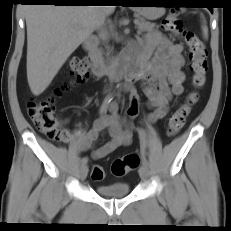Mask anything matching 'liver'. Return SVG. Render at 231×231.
Returning <instances> with one entry per match:
<instances>
[{"mask_svg": "<svg viewBox=\"0 0 231 231\" xmlns=\"http://www.w3.org/2000/svg\"><path fill=\"white\" fill-rule=\"evenodd\" d=\"M100 6L28 5L27 79L38 96L51 83L70 55L98 27ZM115 6H106L109 13Z\"/></svg>", "mask_w": 231, "mask_h": 231, "instance_id": "6515ba94", "label": "liver"}]
</instances>
